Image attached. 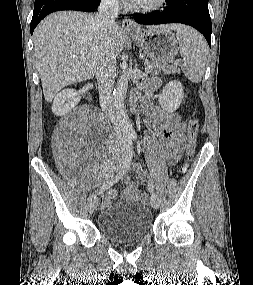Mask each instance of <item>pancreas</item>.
Instances as JSON below:
<instances>
[{
  "mask_svg": "<svg viewBox=\"0 0 253 285\" xmlns=\"http://www.w3.org/2000/svg\"><path fill=\"white\" fill-rule=\"evenodd\" d=\"M147 65L153 66V69L151 73L153 75L159 74L161 71L164 74H175V73H180V68L178 65H167L166 63H160V62H147Z\"/></svg>",
  "mask_w": 253,
  "mask_h": 285,
  "instance_id": "obj_1",
  "label": "pancreas"
}]
</instances>
